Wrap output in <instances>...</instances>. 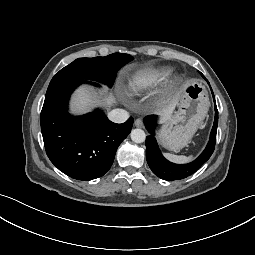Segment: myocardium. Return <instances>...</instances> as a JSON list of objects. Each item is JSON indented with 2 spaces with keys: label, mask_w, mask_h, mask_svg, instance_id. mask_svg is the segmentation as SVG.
Listing matches in <instances>:
<instances>
[{
  "label": "myocardium",
  "mask_w": 255,
  "mask_h": 255,
  "mask_svg": "<svg viewBox=\"0 0 255 255\" xmlns=\"http://www.w3.org/2000/svg\"><path fill=\"white\" fill-rule=\"evenodd\" d=\"M177 78L173 79L172 82H171V86H173L176 82H177Z\"/></svg>",
  "instance_id": "myocardium-1"
}]
</instances>
